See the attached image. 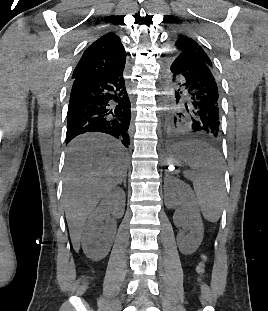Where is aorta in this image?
Segmentation results:
<instances>
[{"instance_id":"aorta-1","label":"aorta","mask_w":268,"mask_h":311,"mask_svg":"<svg viewBox=\"0 0 268 311\" xmlns=\"http://www.w3.org/2000/svg\"><path fill=\"white\" fill-rule=\"evenodd\" d=\"M159 98H162V89H159Z\"/></svg>"}]
</instances>
